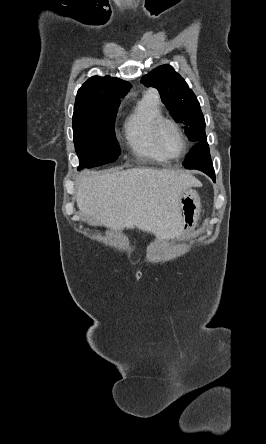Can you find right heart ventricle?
Wrapping results in <instances>:
<instances>
[{
    "label": "right heart ventricle",
    "instance_id": "1",
    "mask_svg": "<svg viewBox=\"0 0 266 444\" xmlns=\"http://www.w3.org/2000/svg\"><path fill=\"white\" fill-rule=\"evenodd\" d=\"M164 117L156 94H145L133 107L124 124V136L132 152L144 159L162 161L166 157L153 139L155 123Z\"/></svg>",
    "mask_w": 266,
    "mask_h": 444
}]
</instances>
